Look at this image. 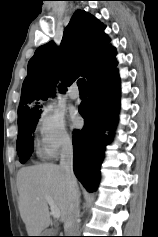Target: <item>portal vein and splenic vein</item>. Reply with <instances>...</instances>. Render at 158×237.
<instances>
[{
	"label": "portal vein and splenic vein",
	"mask_w": 158,
	"mask_h": 237,
	"mask_svg": "<svg viewBox=\"0 0 158 237\" xmlns=\"http://www.w3.org/2000/svg\"><path fill=\"white\" fill-rule=\"evenodd\" d=\"M45 199H46L47 203L50 206L52 216L55 219L60 218V211H59L58 207L55 205L52 197L51 196H45Z\"/></svg>",
	"instance_id": "1"
}]
</instances>
